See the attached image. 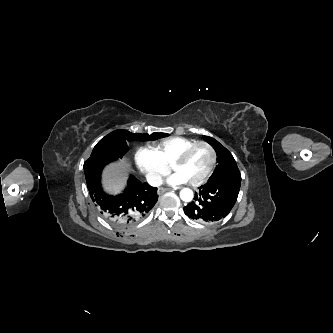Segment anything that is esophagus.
I'll return each instance as SVG.
<instances>
[{
  "mask_svg": "<svg viewBox=\"0 0 333 333\" xmlns=\"http://www.w3.org/2000/svg\"><path fill=\"white\" fill-rule=\"evenodd\" d=\"M170 190V188H160L159 190H158V194H163L164 192H166V191H169Z\"/></svg>",
  "mask_w": 333,
  "mask_h": 333,
  "instance_id": "34e87169",
  "label": "esophagus"
}]
</instances>
